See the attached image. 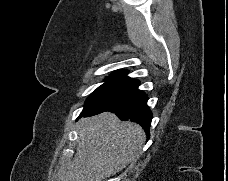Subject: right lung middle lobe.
Segmentation results:
<instances>
[{
  "label": "right lung middle lobe",
  "mask_w": 228,
  "mask_h": 181,
  "mask_svg": "<svg viewBox=\"0 0 228 181\" xmlns=\"http://www.w3.org/2000/svg\"><path fill=\"white\" fill-rule=\"evenodd\" d=\"M131 81L107 78L86 100L83 111L104 105L127 88Z\"/></svg>",
  "instance_id": "dd1d6c3e"
}]
</instances>
